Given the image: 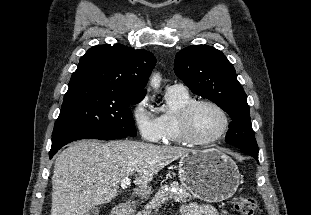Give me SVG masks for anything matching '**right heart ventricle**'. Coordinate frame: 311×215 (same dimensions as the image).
<instances>
[{
    "mask_svg": "<svg viewBox=\"0 0 311 215\" xmlns=\"http://www.w3.org/2000/svg\"><path fill=\"white\" fill-rule=\"evenodd\" d=\"M166 101L168 110L164 112L160 119L165 130V143H183L178 123L180 110L193 101L188 91L167 90Z\"/></svg>",
    "mask_w": 311,
    "mask_h": 215,
    "instance_id": "right-heart-ventricle-1",
    "label": "right heart ventricle"
}]
</instances>
